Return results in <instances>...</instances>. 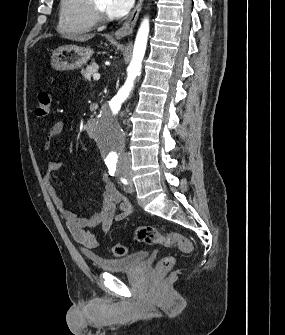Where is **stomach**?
Segmentation results:
<instances>
[{
  "label": "stomach",
  "mask_w": 285,
  "mask_h": 335,
  "mask_svg": "<svg viewBox=\"0 0 285 335\" xmlns=\"http://www.w3.org/2000/svg\"><path fill=\"white\" fill-rule=\"evenodd\" d=\"M94 50L80 46H60L51 56V66L55 70H76L91 60Z\"/></svg>",
  "instance_id": "1"
}]
</instances>
